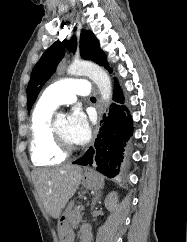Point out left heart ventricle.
<instances>
[{
	"label": "left heart ventricle",
	"mask_w": 187,
	"mask_h": 242,
	"mask_svg": "<svg viewBox=\"0 0 187 242\" xmlns=\"http://www.w3.org/2000/svg\"><path fill=\"white\" fill-rule=\"evenodd\" d=\"M55 127L57 130L58 135L62 139V141L67 146H73V144L70 142L66 135V128H67V119L65 117H59L55 120Z\"/></svg>",
	"instance_id": "obj_1"
}]
</instances>
